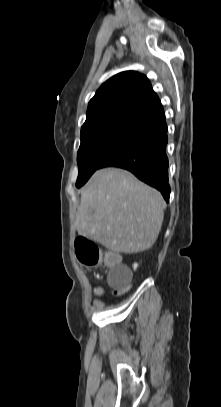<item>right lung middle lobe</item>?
I'll return each instance as SVG.
<instances>
[{
    "mask_svg": "<svg viewBox=\"0 0 221 407\" xmlns=\"http://www.w3.org/2000/svg\"><path fill=\"white\" fill-rule=\"evenodd\" d=\"M137 128L136 125H115L82 136L77 154L79 174L76 186L80 188L84 185L101 163Z\"/></svg>",
    "mask_w": 221,
    "mask_h": 407,
    "instance_id": "right-lung-middle-lobe-1",
    "label": "right lung middle lobe"
}]
</instances>
